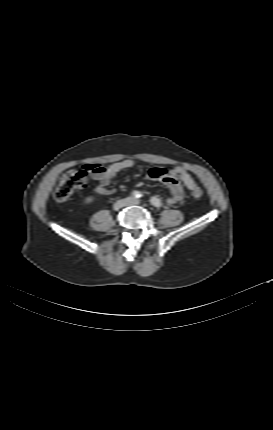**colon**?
<instances>
[{"instance_id":"obj_1","label":"colon","mask_w":273,"mask_h":430,"mask_svg":"<svg viewBox=\"0 0 273 430\" xmlns=\"http://www.w3.org/2000/svg\"><path fill=\"white\" fill-rule=\"evenodd\" d=\"M88 179L89 175L84 174L82 170L65 173L59 179L55 189V200L58 202L66 201L76 190L84 188L87 185ZM191 195L194 198H200L203 196V191L201 188L197 187L191 191Z\"/></svg>"}]
</instances>
